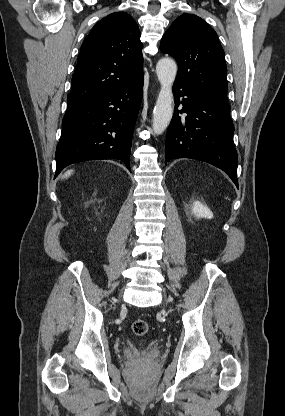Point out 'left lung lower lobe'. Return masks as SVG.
I'll list each match as a JSON object with an SVG mask.
<instances>
[{
    "mask_svg": "<svg viewBox=\"0 0 285 416\" xmlns=\"http://www.w3.org/2000/svg\"><path fill=\"white\" fill-rule=\"evenodd\" d=\"M176 110L166 137V162L191 158L210 163L227 173L238 188V156L228 102L201 95L175 82ZM178 97H185L180 102ZM182 104V110L178 106ZM186 113V117L179 113Z\"/></svg>",
    "mask_w": 285,
    "mask_h": 416,
    "instance_id": "left-lung-lower-lobe-1",
    "label": "left lung lower lobe"
}]
</instances>
